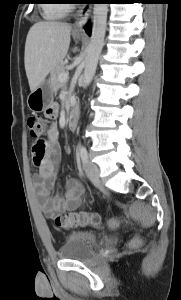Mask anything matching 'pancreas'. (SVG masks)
<instances>
[{
	"label": "pancreas",
	"instance_id": "obj_1",
	"mask_svg": "<svg viewBox=\"0 0 181 300\" xmlns=\"http://www.w3.org/2000/svg\"><path fill=\"white\" fill-rule=\"evenodd\" d=\"M65 72H67V71H66L65 63L63 61H60L56 65V67L51 71V76H50L51 80L50 81H51L53 90L55 92L58 91V89L60 87H62L63 82L60 81L59 76Z\"/></svg>",
	"mask_w": 181,
	"mask_h": 300
}]
</instances>
